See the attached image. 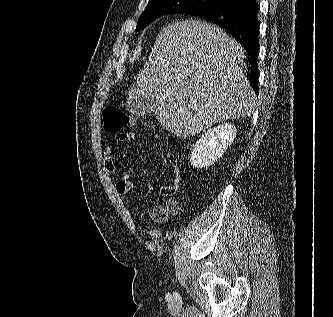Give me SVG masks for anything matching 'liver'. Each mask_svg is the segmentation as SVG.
Wrapping results in <instances>:
<instances>
[{"mask_svg": "<svg viewBox=\"0 0 333 317\" xmlns=\"http://www.w3.org/2000/svg\"><path fill=\"white\" fill-rule=\"evenodd\" d=\"M244 52L213 24L172 23L158 34L129 99H155L157 120L180 138L250 116L258 105L244 75Z\"/></svg>", "mask_w": 333, "mask_h": 317, "instance_id": "1", "label": "liver"}]
</instances>
